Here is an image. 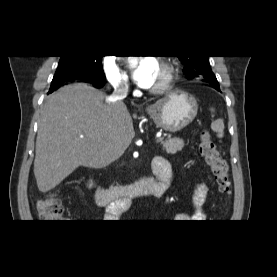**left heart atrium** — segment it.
I'll return each mask as SVG.
<instances>
[{
    "mask_svg": "<svg viewBox=\"0 0 277 277\" xmlns=\"http://www.w3.org/2000/svg\"><path fill=\"white\" fill-rule=\"evenodd\" d=\"M158 67L159 64L154 58L146 57L141 59L134 67V80L140 87H152Z\"/></svg>",
    "mask_w": 277,
    "mask_h": 277,
    "instance_id": "1",
    "label": "left heart atrium"
}]
</instances>
